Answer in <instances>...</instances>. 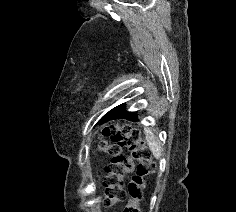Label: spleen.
<instances>
[{
  "label": "spleen",
  "mask_w": 236,
  "mask_h": 212,
  "mask_svg": "<svg viewBox=\"0 0 236 212\" xmlns=\"http://www.w3.org/2000/svg\"><path fill=\"white\" fill-rule=\"evenodd\" d=\"M146 142L149 145L153 155L156 159H159L161 156V146L158 142L157 137L154 135L151 129L145 128L144 129Z\"/></svg>",
  "instance_id": "obj_1"
}]
</instances>
